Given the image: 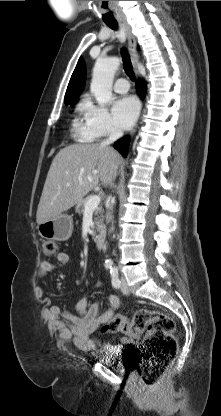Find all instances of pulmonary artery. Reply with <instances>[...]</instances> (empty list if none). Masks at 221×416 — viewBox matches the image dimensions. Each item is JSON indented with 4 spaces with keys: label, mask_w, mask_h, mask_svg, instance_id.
Returning <instances> with one entry per match:
<instances>
[{
    "label": "pulmonary artery",
    "mask_w": 221,
    "mask_h": 416,
    "mask_svg": "<svg viewBox=\"0 0 221 416\" xmlns=\"http://www.w3.org/2000/svg\"><path fill=\"white\" fill-rule=\"evenodd\" d=\"M114 91L120 94L127 93L129 91V82L125 78H118L114 83Z\"/></svg>",
    "instance_id": "1"
}]
</instances>
